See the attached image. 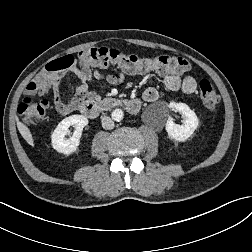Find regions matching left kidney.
<instances>
[{
  "label": "left kidney",
  "mask_w": 252,
  "mask_h": 252,
  "mask_svg": "<svg viewBox=\"0 0 252 252\" xmlns=\"http://www.w3.org/2000/svg\"><path fill=\"white\" fill-rule=\"evenodd\" d=\"M168 107L179 111L185 117L182 125L174 123L171 117L168 118L165 126L168 136L176 141L187 140L193 135L199 123L195 112L184 103L170 102Z\"/></svg>",
  "instance_id": "obj_1"
}]
</instances>
